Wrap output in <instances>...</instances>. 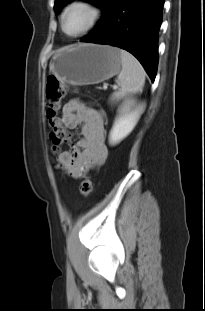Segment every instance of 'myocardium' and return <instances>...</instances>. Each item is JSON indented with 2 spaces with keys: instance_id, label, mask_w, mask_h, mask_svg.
<instances>
[{
  "instance_id": "f54148a6",
  "label": "myocardium",
  "mask_w": 205,
  "mask_h": 311,
  "mask_svg": "<svg viewBox=\"0 0 205 311\" xmlns=\"http://www.w3.org/2000/svg\"><path fill=\"white\" fill-rule=\"evenodd\" d=\"M74 6H83L89 9L91 12V19H90L89 24L82 31L76 34H69L65 30L64 23H65V18H66L68 11ZM101 16H102V10L92 0H71L66 4V6L63 9V12L61 15V22H60L61 29L65 35L72 37V38H77L93 30L98 24V22L100 21Z\"/></svg>"
}]
</instances>
